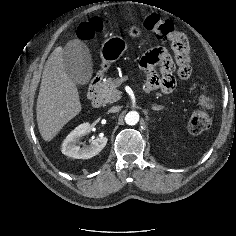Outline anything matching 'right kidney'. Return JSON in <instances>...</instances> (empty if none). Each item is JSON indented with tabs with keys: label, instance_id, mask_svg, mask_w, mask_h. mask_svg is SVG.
<instances>
[{
	"label": "right kidney",
	"instance_id": "right-kidney-1",
	"mask_svg": "<svg viewBox=\"0 0 236 236\" xmlns=\"http://www.w3.org/2000/svg\"><path fill=\"white\" fill-rule=\"evenodd\" d=\"M90 132L89 123H83L76 127L63 141L62 153L75 159H90L99 154L107 144V137L97 136L89 146L77 145L83 136Z\"/></svg>",
	"mask_w": 236,
	"mask_h": 236
}]
</instances>
